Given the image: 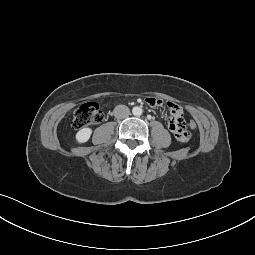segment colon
Returning a JSON list of instances; mask_svg holds the SVG:
<instances>
[{"mask_svg": "<svg viewBox=\"0 0 255 255\" xmlns=\"http://www.w3.org/2000/svg\"><path fill=\"white\" fill-rule=\"evenodd\" d=\"M102 120H103V113L99 105L94 102H87V103L81 104L74 111L72 125L75 129H80L90 124H98L102 122ZM188 124L190 126V130L197 129V123L195 120L193 119L190 120ZM190 136H191V133H190Z\"/></svg>", "mask_w": 255, "mask_h": 255, "instance_id": "colon-1", "label": "colon"}]
</instances>
